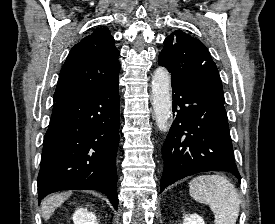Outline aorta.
Listing matches in <instances>:
<instances>
[{
	"label": "aorta",
	"instance_id": "aorta-1",
	"mask_svg": "<svg viewBox=\"0 0 275 224\" xmlns=\"http://www.w3.org/2000/svg\"><path fill=\"white\" fill-rule=\"evenodd\" d=\"M170 86L171 77L169 72L163 67L157 68L151 83L152 105L157 127L163 132H166L169 128L168 122L172 111Z\"/></svg>",
	"mask_w": 275,
	"mask_h": 224
}]
</instances>
